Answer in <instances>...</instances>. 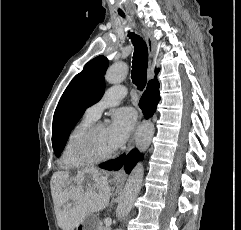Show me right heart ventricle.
<instances>
[{
	"label": "right heart ventricle",
	"mask_w": 241,
	"mask_h": 230,
	"mask_svg": "<svg viewBox=\"0 0 241 230\" xmlns=\"http://www.w3.org/2000/svg\"><path fill=\"white\" fill-rule=\"evenodd\" d=\"M96 119L84 114L68 133L61 154V163L65 168H76L86 165L79 161L75 155V144L80 134Z\"/></svg>",
	"instance_id": "1"
}]
</instances>
